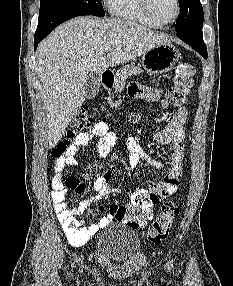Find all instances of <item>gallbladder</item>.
Instances as JSON below:
<instances>
[{"mask_svg": "<svg viewBox=\"0 0 233 286\" xmlns=\"http://www.w3.org/2000/svg\"><path fill=\"white\" fill-rule=\"evenodd\" d=\"M86 97L92 99L98 93L100 88V75L94 72L88 74L85 82Z\"/></svg>", "mask_w": 233, "mask_h": 286, "instance_id": "1", "label": "gallbladder"}]
</instances>
